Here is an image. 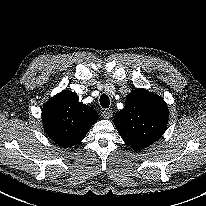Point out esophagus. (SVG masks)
Wrapping results in <instances>:
<instances>
[{
    "mask_svg": "<svg viewBox=\"0 0 206 206\" xmlns=\"http://www.w3.org/2000/svg\"><path fill=\"white\" fill-rule=\"evenodd\" d=\"M113 115V111L112 110H109V109H105L102 111V116L103 118L105 119H110Z\"/></svg>",
    "mask_w": 206,
    "mask_h": 206,
    "instance_id": "esophagus-1",
    "label": "esophagus"
}]
</instances>
